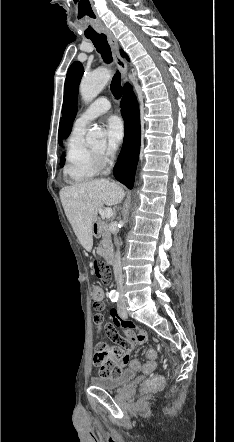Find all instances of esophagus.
<instances>
[{"label": "esophagus", "mask_w": 234, "mask_h": 442, "mask_svg": "<svg viewBox=\"0 0 234 442\" xmlns=\"http://www.w3.org/2000/svg\"><path fill=\"white\" fill-rule=\"evenodd\" d=\"M103 31L108 38L114 61L121 72L122 81L125 83L127 81V63L120 54L118 42L113 33L109 29H104Z\"/></svg>", "instance_id": "1"}]
</instances>
